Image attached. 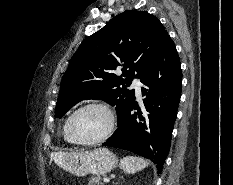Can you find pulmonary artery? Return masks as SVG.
Returning <instances> with one entry per match:
<instances>
[{
  "label": "pulmonary artery",
  "instance_id": "1",
  "mask_svg": "<svg viewBox=\"0 0 233 185\" xmlns=\"http://www.w3.org/2000/svg\"><path fill=\"white\" fill-rule=\"evenodd\" d=\"M132 87L135 89L138 97L141 96V81L138 78L132 80Z\"/></svg>",
  "mask_w": 233,
  "mask_h": 185
}]
</instances>
